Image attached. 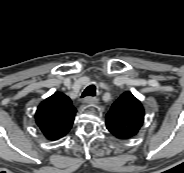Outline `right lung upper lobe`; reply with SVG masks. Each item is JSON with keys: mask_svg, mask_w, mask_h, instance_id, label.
Returning <instances> with one entry per match:
<instances>
[{"mask_svg": "<svg viewBox=\"0 0 184 173\" xmlns=\"http://www.w3.org/2000/svg\"><path fill=\"white\" fill-rule=\"evenodd\" d=\"M75 114L76 109L70 98L61 92H56L38 106L35 119L45 137L55 141L69 132Z\"/></svg>", "mask_w": 184, "mask_h": 173, "instance_id": "1", "label": "right lung upper lobe"}]
</instances>
